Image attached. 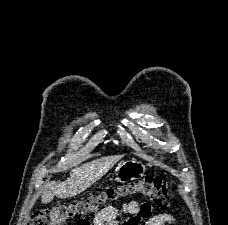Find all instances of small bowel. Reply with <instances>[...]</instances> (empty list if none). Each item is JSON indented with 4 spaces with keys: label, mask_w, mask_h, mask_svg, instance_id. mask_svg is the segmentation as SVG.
Here are the masks:
<instances>
[{
    "label": "small bowel",
    "mask_w": 228,
    "mask_h": 225,
    "mask_svg": "<svg viewBox=\"0 0 228 225\" xmlns=\"http://www.w3.org/2000/svg\"><path fill=\"white\" fill-rule=\"evenodd\" d=\"M144 204H138L131 200L123 204L121 209L116 207H106L95 215L93 225H140L143 218H148L145 225H173L175 217L171 213H159L152 216V204H147L148 200H143ZM123 213L127 215H136L137 218H129V222H119L118 216Z\"/></svg>",
    "instance_id": "small-bowel-1"
}]
</instances>
